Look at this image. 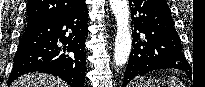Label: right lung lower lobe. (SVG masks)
<instances>
[{
    "label": "right lung lower lobe",
    "instance_id": "98d812e1",
    "mask_svg": "<svg viewBox=\"0 0 205 87\" xmlns=\"http://www.w3.org/2000/svg\"><path fill=\"white\" fill-rule=\"evenodd\" d=\"M87 19L84 3L60 16L27 23L8 85L25 73L38 71L58 76L71 87H84ZM59 42L64 46L59 47Z\"/></svg>",
    "mask_w": 205,
    "mask_h": 87
}]
</instances>
